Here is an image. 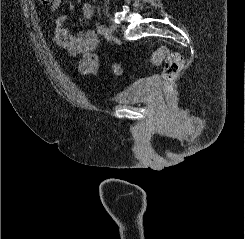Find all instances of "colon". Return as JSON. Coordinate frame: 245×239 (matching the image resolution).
Here are the masks:
<instances>
[{"mask_svg": "<svg viewBox=\"0 0 245 239\" xmlns=\"http://www.w3.org/2000/svg\"><path fill=\"white\" fill-rule=\"evenodd\" d=\"M42 4H51L52 0H40ZM151 62L162 66L163 92L166 98L172 95L173 85L184 67V58L178 53L171 51L166 46H159L151 54ZM116 75L122 74V67L119 64L113 66Z\"/></svg>", "mask_w": 245, "mask_h": 239, "instance_id": "obj_1", "label": "colon"}]
</instances>
